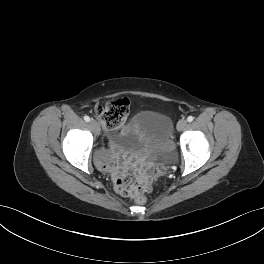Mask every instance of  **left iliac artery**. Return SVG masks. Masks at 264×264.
I'll return each instance as SVG.
<instances>
[{"label": "left iliac artery", "instance_id": "obj_1", "mask_svg": "<svg viewBox=\"0 0 264 264\" xmlns=\"http://www.w3.org/2000/svg\"><path fill=\"white\" fill-rule=\"evenodd\" d=\"M193 119H194V117H193V116H188V118H187V121H188V122H192V121H193Z\"/></svg>", "mask_w": 264, "mask_h": 264}]
</instances>
